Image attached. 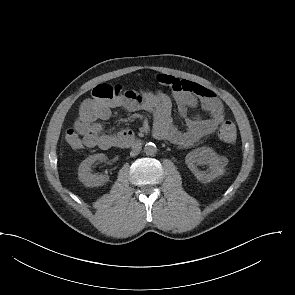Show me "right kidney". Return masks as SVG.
I'll use <instances>...</instances> for the list:
<instances>
[{"label":"right kidney","mask_w":295,"mask_h":295,"mask_svg":"<svg viewBox=\"0 0 295 295\" xmlns=\"http://www.w3.org/2000/svg\"><path fill=\"white\" fill-rule=\"evenodd\" d=\"M97 160L104 161L106 160V156L104 154H95L89 156L79 166L78 169V176L79 180L86 186V187H98L104 185L108 180L109 177L107 175H96L91 173V166Z\"/></svg>","instance_id":"ca27d5eb"}]
</instances>
